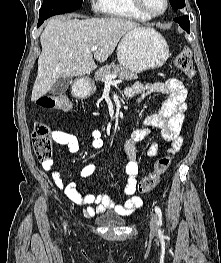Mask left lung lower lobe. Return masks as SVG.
<instances>
[{
    "label": "left lung lower lobe",
    "mask_w": 221,
    "mask_h": 263,
    "mask_svg": "<svg viewBox=\"0 0 221 263\" xmlns=\"http://www.w3.org/2000/svg\"><path fill=\"white\" fill-rule=\"evenodd\" d=\"M181 28H183L187 33H189V17L187 15L174 18Z\"/></svg>",
    "instance_id": "0a47b994"
}]
</instances>
